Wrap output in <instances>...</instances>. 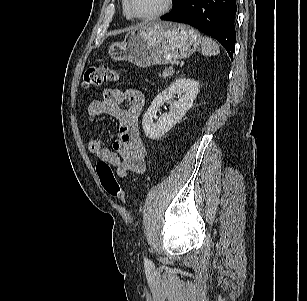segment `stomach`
<instances>
[{"instance_id":"1","label":"stomach","mask_w":307,"mask_h":301,"mask_svg":"<svg viewBox=\"0 0 307 301\" xmlns=\"http://www.w3.org/2000/svg\"><path fill=\"white\" fill-rule=\"evenodd\" d=\"M200 43L199 32L189 25L158 21L129 32L123 42L112 43L108 53L113 60L148 67L187 58Z\"/></svg>"}]
</instances>
